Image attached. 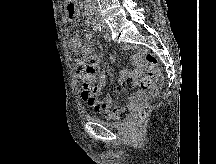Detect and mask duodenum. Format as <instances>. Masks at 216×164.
I'll list each match as a JSON object with an SVG mask.
<instances>
[{
    "label": "duodenum",
    "instance_id": "410a0bca",
    "mask_svg": "<svg viewBox=\"0 0 216 164\" xmlns=\"http://www.w3.org/2000/svg\"><path fill=\"white\" fill-rule=\"evenodd\" d=\"M68 7H74L73 0H69ZM86 12H87V17H88L89 21H91L92 20V13H91V6L89 4L86 6Z\"/></svg>",
    "mask_w": 216,
    "mask_h": 164
}]
</instances>
